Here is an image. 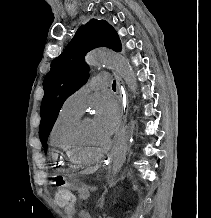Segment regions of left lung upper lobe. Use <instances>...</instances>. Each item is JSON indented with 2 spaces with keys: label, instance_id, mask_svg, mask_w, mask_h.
<instances>
[{
  "label": "left lung upper lobe",
  "instance_id": "obj_1",
  "mask_svg": "<svg viewBox=\"0 0 211 218\" xmlns=\"http://www.w3.org/2000/svg\"><path fill=\"white\" fill-rule=\"evenodd\" d=\"M107 47L121 51V42L114 28L105 20H90L81 26L63 53L55 58L43 81L39 137L47 151V139L65 100L84 85L89 67L84 61L87 52Z\"/></svg>",
  "mask_w": 211,
  "mask_h": 218
}]
</instances>
